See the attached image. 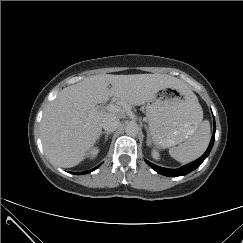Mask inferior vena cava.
I'll list each match as a JSON object with an SVG mask.
<instances>
[{"label": "inferior vena cava", "instance_id": "1", "mask_svg": "<svg viewBox=\"0 0 243 243\" xmlns=\"http://www.w3.org/2000/svg\"><path fill=\"white\" fill-rule=\"evenodd\" d=\"M120 125L119 119L114 116L106 117L103 120L102 127L106 132L115 131Z\"/></svg>", "mask_w": 243, "mask_h": 243}]
</instances>
